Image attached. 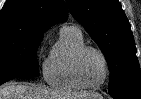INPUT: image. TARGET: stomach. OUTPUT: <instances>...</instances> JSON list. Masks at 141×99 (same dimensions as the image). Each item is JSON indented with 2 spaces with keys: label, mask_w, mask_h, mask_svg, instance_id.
Returning a JSON list of instances; mask_svg holds the SVG:
<instances>
[{
  "label": "stomach",
  "mask_w": 141,
  "mask_h": 99,
  "mask_svg": "<svg viewBox=\"0 0 141 99\" xmlns=\"http://www.w3.org/2000/svg\"><path fill=\"white\" fill-rule=\"evenodd\" d=\"M86 99H102V98H99L97 95H91L90 97Z\"/></svg>",
  "instance_id": "1"
}]
</instances>
